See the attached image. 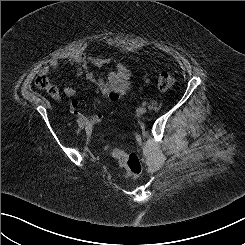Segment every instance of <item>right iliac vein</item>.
<instances>
[{
    "label": "right iliac vein",
    "instance_id": "63e3f726",
    "mask_svg": "<svg viewBox=\"0 0 245 245\" xmlns=\"http://www.w3.org/2000/svg\"><path fill=\"white\" fill-rule=\"evenodd\" d=\"M79 127H80L81 129H83V128H84V123H81V124L79 125Z\"/></svg>",
    "mask_w": 245,
    "mask_h": 245
}]
</instances>
